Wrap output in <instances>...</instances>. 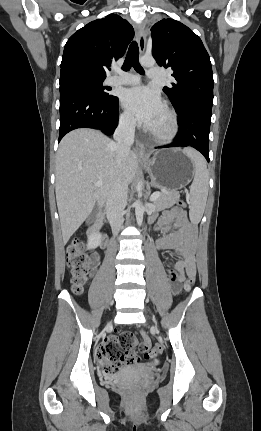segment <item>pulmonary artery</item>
I'll return each instance as SVG.
<instances>
[{
	"label": "pulmonary artery",
	"instance_id": "pulmonary-artery-1",
	"mask_svg": "<svg viewBox=\"0 0 261 431\" xmlns=\"http://www.w3.org/2000/svg\"><path fill=\"white\" fill-rule=\"evenodd\" d=\"M163 75V70L159 67H153L148 71L150 79H159ZM140 82V77L132 73H123L118 71V75L112 76L108 79V84L112 86L117 85H136Z\"/></svg>",
	"mask_w": 261,
	"mask_h": 431
}]
</instances>
